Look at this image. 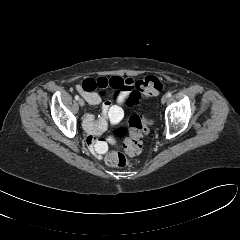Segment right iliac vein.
Segmentation results:
<instances>
[{
	"instance_id": "right-iliac-vein-1",
	"label": "right iliac vein",
	"mask_w": 240,
	"mask_h": 240,
	"mask_svg": "<svg viewBox=\"0 0 240 240\" xmlns=\"http://www.w3.org/2000/svg\"><path fill=\"white\" fill-rule=\"evenodd\" d=\"M78 103H79V105H80L81 107H83L84 104H85V102H84V100H83L82 98L79 99Z\"/></svg>"
}]
</instances>
